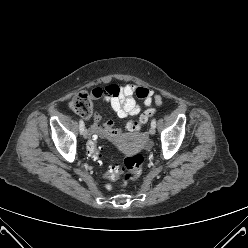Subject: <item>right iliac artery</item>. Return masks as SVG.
<instances>
[{"label":"right iliac artery","instance_id":"82829eb1","mask_svg":"<svg viewBox=\"0 0 248 248\" xmlns=\"http://www.w3.org/2000/svg\"><path fill=\"white\" fill-rule=\"evenodd\" d=\"M84 128H85V124H84L83 120H82V119H80V121H79V129H80V133H83Z\"/></svg>","mask_w":248,"mask_h":248}]
</instances>
